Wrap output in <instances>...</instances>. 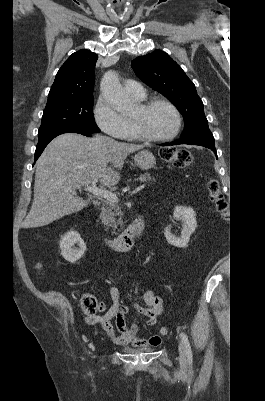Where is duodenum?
Segmentation results:
<instances>
[{
  "label": "duodenum",
  "mask_w": 265,
  "mask_h": 401,
  "mask_svg": "<svg viewBox=\"0 0 265 401\" xmlns=\"http://www.w3.org/2000/svg\"><path fill=\"white\" fill-rule=\"evenodd\" d=\"M145 228L144 219L142 216H138L129 228L116 237H110L103 235V240L107 246L115 251H128L131 249L137 240L142 236Z\"/></svg>",
  "instance_id": "1"
}]
</instances>
